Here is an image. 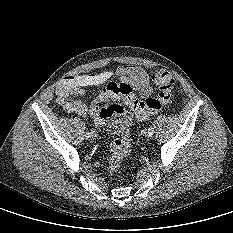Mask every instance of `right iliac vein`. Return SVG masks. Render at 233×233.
<instances>
[{"mask_svg": "<svg viewBox=\"0 0 233 233\" xmlns=\"http://www.w3.org/2000/svg\"><path fill=\"white\" fill-rule=\"evenodd\" d=\"M91 134H92V138H95L97 136V132L95 130H92Z\"/></svg>", "mask_w": 233, "mask_h": 233, "instance_id": "63e3f726", "label": "right iliac vein"}]
</instances>
